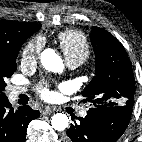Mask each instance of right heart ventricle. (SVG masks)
Instances as JSON below:
<instances>
[{"mask_svg": "<svg viewBox=\"0 0 142 142\" xmlns=\"http://www.w3.org/2000/svg\"><path fill=\"white\" fill-rule=\"evenodd\" d=\"M66 60L84 62L90 55V46L85 35L77 30L61 32L57 37Z\"/></svg>", "mask_w": 142, "mask_h": 142, "instance_id": "1", "label": "right heart ventricle"}]
</instances>
